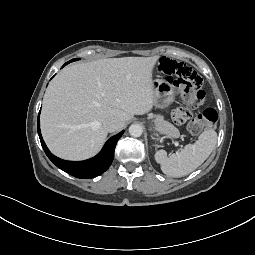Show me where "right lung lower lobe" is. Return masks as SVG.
Instances as JSON below:
<instances>
[{"label": "right lung lower lobe", "instance_id": "98d812e1", "mask_svg": "<svg viewBox=\"0 0 255 255\" xmlns=\"http://www.w3.org/2000/svg\"><path fill=\"white\" fill-rule=\"evenodd\" d=\"M72 61L73 60H70L69 62L65 63L63 66L67 65L68 63ZM123 133L124 131H121L117 135L111 137L105 143L101 152L91 159H88L85 161H77V162L66 161L51 154L49 149L45 145V142L43 141V138L40 132V122H39V116H38V134H39L41 145L46 155L48 156V158L52 161L53 164H55L61 170L67 172L68 174L74 177L81 178V179L94 178L98 175H101L109 168L114 158V150H115L116 143Z\"/></svg>", "mask_w": 255, "mask_h": 255}]
</instances>
